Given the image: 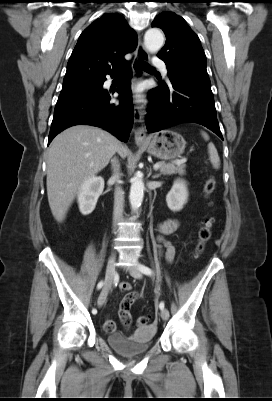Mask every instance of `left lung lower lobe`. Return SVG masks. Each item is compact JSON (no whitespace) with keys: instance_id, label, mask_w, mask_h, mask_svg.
<instances>
[{"instance_id":"1","label":"left lung lower lobe","mask_w":272,"mask_h":401,"mask_svg":"<svg viewBox=\"0 0 272 401\" xmlns=\"http://www.w3.org/2000/svg\"><path fill=\"white\" fill-rule=\"evenodd\" d=\"M151 101L146 115L149 132H157L173 125L193 122L201 124L223 139L217 121L211 85L182 78H170L149 91Z\"/></svg>"}]
</instances>
